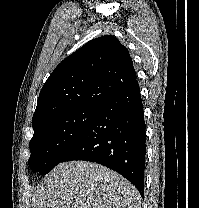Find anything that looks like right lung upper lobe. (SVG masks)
Segmentation results:
<instances>
[{"instance_id": "right-lung-upper-lobe-1", "label": "right lung upper lobe", "mask_w": 199, "mask_h": 208, "mask_svg": "<svg viewBox=\"0 0 199 208\" xmlns=\"http://www.w3.org/2000/svg\"><path fill=\"white\" fill-rule=\"evenodd\" d=\"M136 82L132 59L113 36L86 43L64 59L41 89L32 126L64 111L99 106Z\"/></svg>"}]
</instances>
